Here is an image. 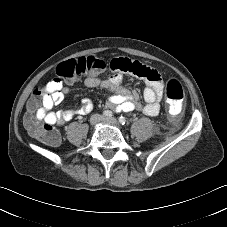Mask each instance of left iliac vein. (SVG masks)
Wrapping results in <instances>:
<instances>
[{
    "mask_svg": "<svg viewBox=\"0 0 227 227\" xmlns=\"http://www.w3.org/2000/svg\"><path fill=\"white\" fill-rule=\"evenodd\" d=\"M102 121L107 124H111V125H115V126L118 124V121L115 118H103Z\"/></svg>",
    "mask_w": 227,
    "mask_h": 227,
    "instance_id": "left-iliac-vein-1",
    "label": "left iliac vein"
}]
</instances>
